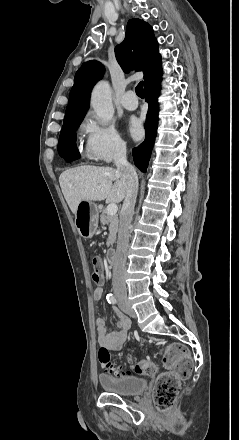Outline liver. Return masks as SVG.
Here are the masks:
<instances>
[{
    "label": "liver",
    "mask_w": 239,
    "mask_h": 440,
    "mask_svg": "<svg viewBox=\"0 0 239 440\" xmlns=\"http://www.w3.org/2000/svg\"><path fill=\"white\" fill-rule=\"evenodd\" d=\"M115 182V184H112ZM63 196L73 214L80 202H122L126 196L125 184L120 172L114 168L100 166H79L62 172L59 178Z\"/></svg>",
    "instance_id": "6515ba94"
}]
</instances>
